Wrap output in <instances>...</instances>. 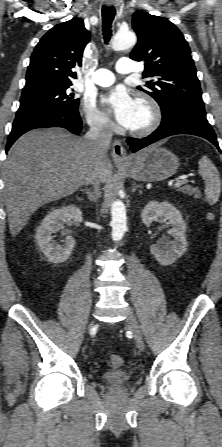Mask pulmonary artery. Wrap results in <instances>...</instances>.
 Here are the masks:
<instances>
[{"label":"pulmonary artery","instance_id":"obj_1","mask_svg":"<svg viewBox=\"0 0 222 447\" xmlns=\"http://www.w3.org/2000/svg\"><path fill=\"white\" fill-rule=\"evenodd\" d=\"M116 71L122 75H130L139 71L131 59L125 58L117 62ZM90 81L98 86H110L115 81L114 74L107 69H98L90 76Z\"/></svg>","mask_w":222,"mask_h":447}]
</instances>
